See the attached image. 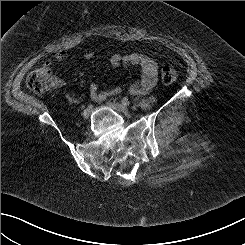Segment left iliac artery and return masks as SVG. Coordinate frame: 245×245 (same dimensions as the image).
Here are the masks:
<instances>
[{"instance_id":"obj_1","label":"left iliac artery","mask_w":245,"mask_h":245,"mask_svg":"<svg viewBox=\"0 0 245 245\" xmlns=\"http://www.w3.org/2000/svg\"><path fill=\"white\" fill-rule=\"evenodd\" d=\"M121 102L124 104V105H129L130 104V101L127 97H124Z\"/></svg>"}]
</instances>
